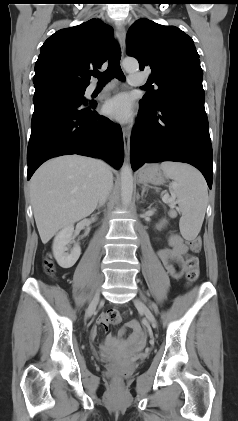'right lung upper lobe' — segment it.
<instances>
[{"instance_id":"1","label":"right lung upper lobe","mask_w":238,"mask_h":421,"mask_svg":"<svg viewBox=\"0 0 238 421\" xmlns=\"http://www.w3.org/2000/svg\"><path fill=\"white\" fill-rule=\"evenodd\" d=\"M113 29L100 19L61 29L42 45L35 65V87L66 84L87 87L90 75L107 60Z\"/></svg>"}]
</instances>
